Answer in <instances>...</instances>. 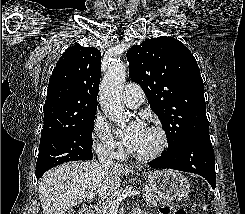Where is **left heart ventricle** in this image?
<instances>
[{"mask_svg":"<svg viewBox=\"0 0 245 214\" xmlns=\"http://www.w3.org/2000/svg\"><path fill=\"white\" fill-rule=\"evenodd\" d=\"M160 143V138L157 133L144 128L134 145L130 148V151L138 154H146L154 151Z\"/></svg>","mask_w":245,"mask_h":214,"instance_id":"obj_1","label":"left heart ventricle"}]
</instances>
